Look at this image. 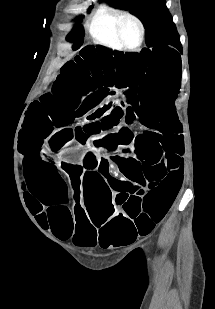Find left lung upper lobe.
<instances>
[{
  "label": "left lung upper lobe",
  "instance_id": "5c2ea615",
  "mask_svg": "<svg viewBox=\"0 0 215 309\" xmlns=\"http://www.w3.org/2000/svg\"><path fill=\"white\" fill-rule=\"evenodd\" d=\"M127 8L142 21L146 30V45L180 47V37L168 12L165 0H106Z\"/></svg>",
  "mask_w": 215,
  "mask_h": 309
}]
</instances>
